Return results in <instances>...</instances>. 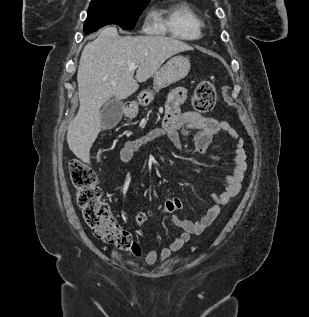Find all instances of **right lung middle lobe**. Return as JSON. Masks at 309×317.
<instances>
[{
  "mask_svg": "<svg viewBox=\"0 0 309 317\" xmlns=\"http://www.w3.org/2000/svg\"><path fill=\"white\" fill-rule=\"evenodd\" d=\"M149 2L150 0H92L84 33L89 34L109 24L131 30Z\"/></svg>",
  "mask_w": 309,
  "mask_h": 317,
  "instance_id": "obj_1",
  "label": "right lung middle lobe"
}]
</instances>
